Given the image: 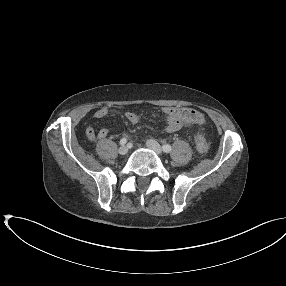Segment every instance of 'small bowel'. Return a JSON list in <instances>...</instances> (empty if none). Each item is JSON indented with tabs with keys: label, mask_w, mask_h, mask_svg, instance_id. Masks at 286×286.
Listing matches in <instances>:
<instances>
[{
	"label": "small bowel",
	"mask_w": 286,
	"mask_h": 286,
	"mask_svg": "<svg viewBox=\"0 0 286 286\" xmlns=\"http://www.w3.org/2000/svg\"><path fill=\"white\" fill-rule=\"evenodd\" d=\"M163 114L166 117V131L176 132L185 126L202 125L205 123V117L199 111L188 107H164L162 109ZM109 113V109L106 106L98 108L94 112L95 119H102ZM125 118L128 122L136 124L139 122L140 117L135 112L128 111L125 113ZM109 135L108 129H101L96 134L94 128L89 127L87 129V137L89 140H94L97 136L99 139H105Z\"/></svg>",
	"instance_id": "obj_1"
}]
</instances>
